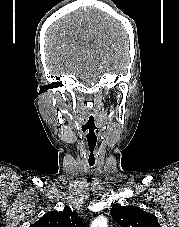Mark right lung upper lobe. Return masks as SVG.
I'll list each match as a JSON object with an SVG mask.
<instances>
[{
	"label": "right lung upper lobe",
	"mask_w": 179,
	"mask_h": 227,
	"mask_svg": "<svg viewBox=\"0 0 179 227\" xmlns=\"http://www.w3.org/2000/svg\"><path fill=\"white\" fill-rule=\"evenodd\" d=\"M29 227H84V224L76 211H72L70 207H65L63 211L46 213Z\"/></svg>",
	"instance_id": "1"
}]
</instances>
